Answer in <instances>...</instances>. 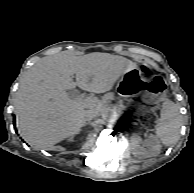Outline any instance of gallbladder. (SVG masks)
<instances>
[{"mask_svg":"<svg viewBox=\"0 0 194 193\" xmlns=\"http://www.w3.org/2000/svg\"><path fill=\"white\" fill-rule=\"evenodd\" d=\"M73 92H74V89L69 90V91H68V95H70V96H71Z\"/></svg>","mask_w":194,"mask_h":193,"instance_id":"obj_1","label":"gallbladder"}]
</instances>
